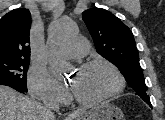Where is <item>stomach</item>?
Masks as SVG:
<instances>
[{
  "mask_svg": "<svg viewBox=\"0 0 165 120\" xmlns=\"http://www.w3.org/2000/svg\"><path fill=\"white\" fill-rule=\"evenodd\" d=\"M75 120H125L123 112L110 103H100L83 111Z\"/></svg>",
  "mask_w": 165,
  "mask_h": 120,
  "instance_id": "obj_1",
  "label": "stomach"
}]
</instances>
